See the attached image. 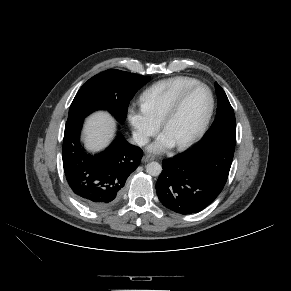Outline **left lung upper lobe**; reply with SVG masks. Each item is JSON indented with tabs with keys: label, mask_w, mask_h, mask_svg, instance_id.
Masks as SVG:
<instances>
[{
	"label": "left lung upper lobe",
	"mask_w": 291,
	"mask_h": 291,
	"mask_svg": "<svg viewBox=\"0 0 291 291\" xmlns=\"http://www.w3.org/2000/svg\"><path fill=\"white\" fill-rule=\"evenodd\" d=\"M215 88L218 98L216 118L204 140H208L219 135L236 136V121L233 108L224 90L217 82L215 83Z\"/></svg>",
	"instance_id": "left-lung-upper-lobe-1"
}]
</instances>
